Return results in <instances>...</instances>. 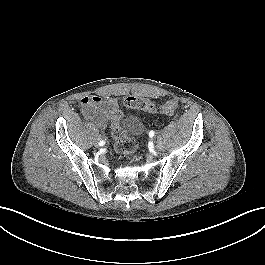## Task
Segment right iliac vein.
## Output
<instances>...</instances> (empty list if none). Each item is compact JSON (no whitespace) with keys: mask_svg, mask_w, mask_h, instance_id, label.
Instances as JSON below:
<instances>
[{"mask_svg":"<svg viewBox=\"0 0 265 265\" xmlns=\"http://www.w3.org/2000/svg\"><path fill=\"white\" fill-rule=\"evenodd\" d=\"M95 146H96V147H99L100 145H99V143L96 142V143H95Z\"/></svg>","mask_w":265,"mask_h":265,"instance_id":"obj_1","label":"right iliac vein"}]
</instances>
